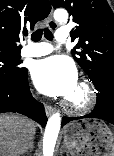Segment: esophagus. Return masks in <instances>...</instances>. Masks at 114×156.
Returning a JSON list of instances; mask_svg holds the SVG:
<instances>
[{"instance_id":"1","label":"esophagus","mask_w":114,"mask_h":156,"mask_svg":"<svg viewBox=\"0 0 114 156\" xmlns=\"http://www.w3.org/2000/svg\"><path fill=\"white\" fill-rule=\"evenodd\" d=\"M47 24L51 30L57 29V23L53 20V17H52V10L50 14L48 15ZM44 107H45V112L47 116H50L54 112V108L52 106L45 104Z\"/></svg>"}]
</instances>
